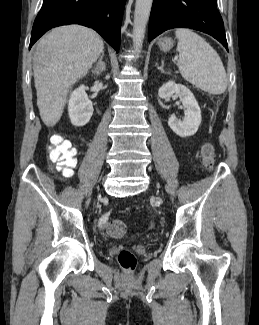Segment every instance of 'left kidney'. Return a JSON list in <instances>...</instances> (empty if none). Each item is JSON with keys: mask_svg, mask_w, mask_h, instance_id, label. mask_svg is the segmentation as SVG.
Listing matches in <instances>:
<instances>
[{"mask_svg": "<svg viewBox=\"0 0 259 325\" xmlns=\"http://www.w3.org/2000/svg\"><path fill=\"white\" fill-rule=\"evenodd\" d=\"M173 94L180 97V101L186 108L185 118L183 121H180L175 115H172L168 120V125L180 137L192 136L197 132L201 123L200 107L193 93L182 84L169 81L163 84L158 90V95L162 99H166Z\"/></svg>", "mask_w": 259, "mask_h": 325, "instance_id": "obj_1", "label": "left kidney"}]
</instances>
